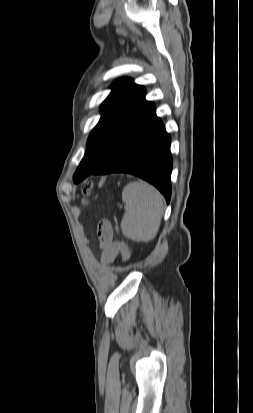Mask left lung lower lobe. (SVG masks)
Wrapping results in <instances>:
<instances>
[{"mask_svg":"<svg viewBox=\"0 0 253 413\" xmlns=\"http://www.w3.org/2000/svg\"><path fill=\"white\" fill-rule=\"evenodd\" d=\"M118 145L109 158L92 174L129 173L154 186L171 198L172 156L170 135L151 105L134 119L123 121Z\"/></svg>","mask_w":253,"mask_h":413,"instance_id":"left-lung-lower-lobe-1","label":"left lung lower lobe"}]
</instances>
